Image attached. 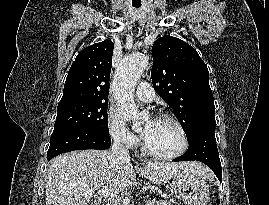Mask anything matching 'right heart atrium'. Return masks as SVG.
<instances>
[{
    "instance_id": "d8ad5b80",
    "label": "right heart atrium",
    "mask_w": 269,
    "mask_h": 205,
    "mask_svg": "<svg viewBox=\"0 0 269 205\" xmlns=\"http://www.w3.org/2000/svg\"><path fill=\"white\" fill-rule=\"evenodd\" d=\"M106 128L109 136L116 143L126 148H135L138 138L126 127L121 117L114 111H109L106 117Z\"/></svg>"
}]
</instances>
